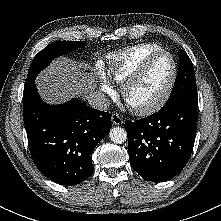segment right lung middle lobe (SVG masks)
Segmentation results:
<instances>
[{
    "instance_id": "1",
    "label": "right lung middle lobe",
    "mask_w": 221,
    "mask_h": 221,
    "mask_svg": "<svg viewBox=\"0 0 221 221\" xmlns=\"http://www.w3.org/2000/svg\"><path fill=\"white\" fill-rule=\"evenodd\" d=\"M85 41H55L41 50L30 65L25 83L35 79L37 74L47 67L52 59L64 55L74 49L84 47Z\"/></svg>"
}]
</instances>
